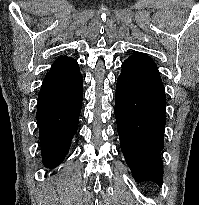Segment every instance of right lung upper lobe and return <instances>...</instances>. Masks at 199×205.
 <instances>
[{
  "label": "right lung upper lobe",
  "instance_id": "obj_1",
  "mask_svg": "<svg viewBox=\"0 0 199 205\" xmlns=\"http://www.w3.org/2000/svg\"><path fill=\"white\" fill-rule=\"evenodd\" d=\"M78 70L79 66L75 59L68 56H61L55 60L48 73L68 76Z\"/></svg>",
  "mask_w": 199,
  "mask_h": 205
}]
</instances>
